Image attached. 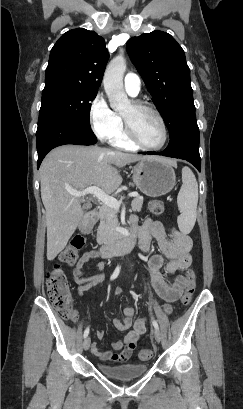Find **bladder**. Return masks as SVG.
Wrapping results in <instances>:
<instances>
[{
    "label": "bladder",
    "instance_id": "31cf9c89",
    "mask_svg": "<svg viewBox=\"0 0 243 409\" xmlns=\"http://www.w3.org/2000/svg\"><path fill=\"white\" fill-rule=\"evenodd\" d=\"M98 371L109 378L119 381H127L143 376L147 370V364L125 363L121 365H107L98 362L96 364Z\"/></svg>",
    "mask_w": 243,
    "mask_h": 409
}]
</instances>
